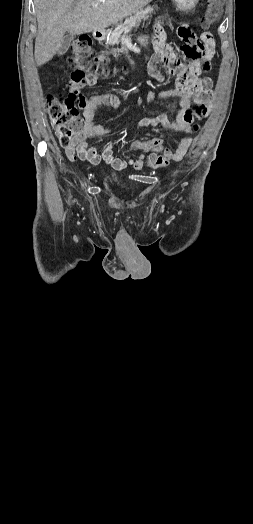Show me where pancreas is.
Here are the masks:
<instances>
[{
  "label": "pancreas",
  "instance_id": "obj_1",
  "mask_svg": "<svg viewBox=\"0 0 253 524\" xmlns=\"http://www.w3.org/2000/svg\"><path fill=\"white\" fill-rule=\"evenodd\" d=\"M157 7L148 6L145 9L134 13L131 17L127 18L123 23L116 25L115 29L109 33L107 45H114L120 41V39L128 34V32L141 23L142 20H147L152 16V13Z\"/></svg>",
  "mask_w": 253,
  "mask_h": 524
}]
</instances>
